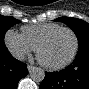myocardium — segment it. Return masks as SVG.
Here are the masks:
<instances>
[{"instance_id":"f54148a6","label":"myocardium","mask_w":89,"mask_h":89,"mask_svg":"<svg viewBox=\"0 0 89 89\" xmlns=\"http://www.w3.org/2000/svg\"><path fill=\"white\" fill-rule=\"evenodd\" d=\"M60 31H67L69 33H71V35L73 36L74 38V49L71 53V55L69 56L68 59H66L65 61L59 63V64H48L46 63L45 61H43L42 57H41V50L42 48L44 47V45L55 35L57 34L58 32ZM78 50H79V39H78V36L77 34L75 33V31L69 27H59L51 32H49L48 34H46L41 40L40 42L38 43L37 47H36V57H37V60L39 61V63L44 66L45 68H48V69H51V70H60V69H63L65 67H67L68 65H70L77 53H78Z\"/></svg>"}]
</instances>
